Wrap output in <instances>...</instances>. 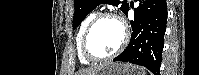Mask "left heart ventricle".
<instances>
[{
  "label": "left heart ventricle",
  "instance_id": "b2bd125f",
  "mask_svg": "<svg viewBox=\"0 0 199 75\" xmlns=\"http://www.w3.org/2000/svg\"><path fill=\"white\" fill-rule=\"evenodd\" d=\"M122 40V29L112 19L99 21L88 39V49L95 56H105L113 52Z\"/></svg>",
  "mask_w": 199,
  "mask_h": 75
}]
</instances>
